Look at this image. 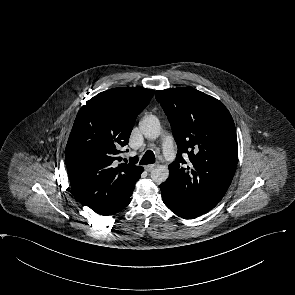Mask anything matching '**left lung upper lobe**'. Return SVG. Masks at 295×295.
<instances>
[{"mask_svg":"<svg viewBox=\"0 0 295 295\" xmlns=\"http://www.w3.org/2000/svg\"><path fill=\"white\" fill-rule=\"evenodd\" d=\"M155 96L178 146L165 183L192 210L205 214L223 198L236 171L238 146L232 116L219 100L191 87L159 90Z\"/></svg>","mask_w":295,"mask_h":295,"instance_id":"left-lung-upper-lobe-1","label":"left lung upper lobe"}]
</instances>
